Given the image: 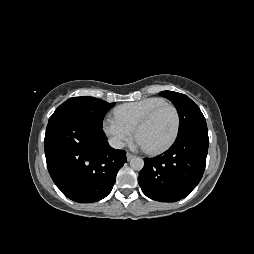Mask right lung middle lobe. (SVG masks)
Instances as JSON below:
<instances>
[{
  "label": "right lung middle lobe",
  "instance_id": "dd1d6c3e",
  "mask_svg": "<svg viewBox=\"0 0 254 254\" xmlns=\"http://www.w3.org/2000/svg\"><path fill=\"white\" fill-rule=\"evenodd\" d=\"M114 105L115 103H108L101 99L89 96L72 97L61 104L49 120L70 116L102 128L105 114Z\"/></svg>",
  "mask_w": 254,
  "mask_h": 254
}]
</instances>
